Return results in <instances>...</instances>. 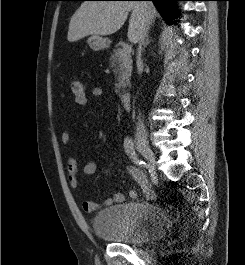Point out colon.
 I'll list each match as a JSON object with an SVG mask.
<instances>
[{
  "mask_svg": "<svg viewBox=\"0 0 245 265\" xmlns=\"http://www.w3.org/2000/svg\"><path fill=\"white\" fill-rule=\"evenodd\" d=\"M70 92L76 105L85 106L88 103L86 87L80 80L73 79L70 82Z\"/></svg>",
  "mask_w": 245,
  "mask_h": 265,
  "instance_id": "5ec220e1",
  "label": "colon"
}]
</instances>
